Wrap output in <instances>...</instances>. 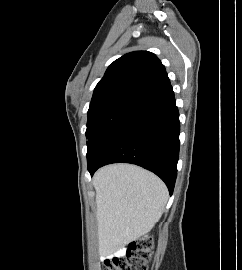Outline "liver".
<instances>
[{"label": "liver", "mask_w": 242, "mask_h": 270, "mask_svg": "<svg viewBox=\"0 0 242 270\" xmlns=\"http://www.w3.org/2000/svg\"><path fill=\"white\" fill-rule=\"evenodd\" d=\"M93 185L99 246L110 252L146 235L168 200L167 187L156 175L130 164L102 167Z\"/></svg>", "instance_id": "6515ba94"}]
</instances>
